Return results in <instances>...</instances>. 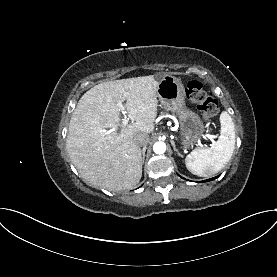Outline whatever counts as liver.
<instances>
[{"instance_id":"liver-1","label":"liver","mask_w":277,"mask_h":277,"mask_svg":"<svg viewBox=\"0 0 277 277\" xmlns=\"http://www.w3.org/2000/svg\"><path fill=\"white\" fill-rule=\"evenodd\" d=\"M158 85L153 75L127 78L100 83L80 98L69 123L66 148L89 184L120 191L139 183L142 154L134 137L154 130ZM118 100L126 101L129 125L120 124Z\"/></svg>"}]
</instances>
